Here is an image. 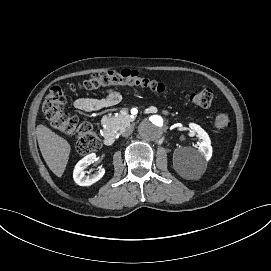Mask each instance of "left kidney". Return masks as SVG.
Segmentation results:
<instances>
[{
	"instance_id": "obj_1",
	"label": "left kidney",
	"mask_w": 271,
	"mask_h": 271,
	"mask_svg": "<svg viewBox=\"0 0 271 271\" xmlns=\"http://www.w3.org/2000/svg\"><path fill=\"white\" fill-rule=\"evenodd\" d=\"M189 127L200 139L198 149L187 150L186 148H177L174 151L173 163L177 171L193 176L196 173L195 170L201 165L202 160L208 161L211 158L212 146L208 134L201 126L190 123Z\"/></svg>"
}]
</instances>
